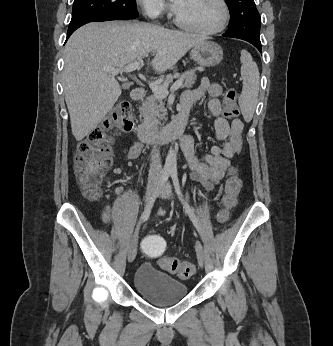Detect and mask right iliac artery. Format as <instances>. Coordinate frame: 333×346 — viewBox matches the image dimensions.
<instances>
[{"instance_id": "obj_1", "label": "right iliac artery", "mask_w": 333, "mask_h": 346, "mask_svg": "<svg viewBox=\"0 0 333 346\" xmlns=\"http://www.w3.org/2000/svg\"><path fill=\"white\" fill-rule=\"evenodd\" d=\"M171 170L168 168H164L157 186V189L154 193V196L152 198V201L150 202V204L148 205V207H146V209L144 210L142 216H141V220L139 222V225H141L145 220L148 219L151 209L153 207V204L156 200V198L158 197L159 193L161 192L162 188L165 186L166 182L168 181V178L170 176Z\"/></svg>"}]
</instances>
